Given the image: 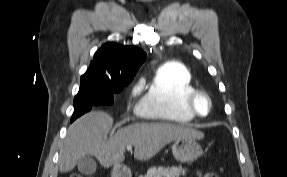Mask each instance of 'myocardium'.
<instances>
[{"mask_svg":"<svg viewBox=\"0 0 287 177\" xmlns=\"http://www.w3.org/2000/svg\"><path fill=\"white\" fill-rule=\"evenodd\" d=\"M200 98H203L206 101L207 104L206 113H201L198 109V100ZM186 106L194 116L205 117L210 114L213 107V103L209 93H207L205 90L202 89H195L186 98Z\"/></svg>","mask_w":287,"mask_h":177,"instance_id":"obj_1","label":"myocardium"}]
</instances>
